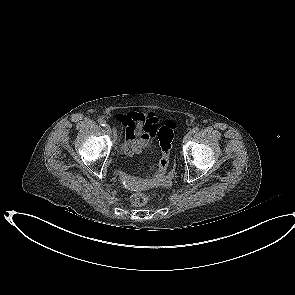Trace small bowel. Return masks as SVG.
Returning a JSON list of instances; mask_svg holds the SVG:
<instances>
[{"instance_id":"small-bowel-1","label":"small bowel","mask_w":295,"mask_h":295,"mask_svg":"<svg viewBox=\"0 0 295 295\" xmlns=\"http://www.w3.org/2000/svg\"><path fill=\"white\" fill-rule=\"evenodd\" d=\"M118 120L126 126V137L122 144V152L129 157L149 151L155 136L154 128L157 118L154 114L131 112L119 115ZM118 180L129 189L150 190L154 187L152 180L144 181L120 173Z\"/></svg>"}]
</instances>
